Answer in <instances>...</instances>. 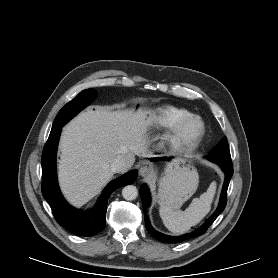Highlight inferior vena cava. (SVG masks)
<instances>
[{
    "label": "inferior vena cava",
    "instance_id": "602c4592",
    "mask_svg": "<svg viewBox=\"0 0 278 278\" xmlns=\"http://www.w3.org/2000/svg\"><path fill=\"white\" fill-rule=\"evenodd\" d=\"M110 168L114 173L124 171L127 168V162L123 156L120 155L111 163Z\"/></svg>",
    "mask_w": 278,
    "mask_h": 278
}]
</instances>
